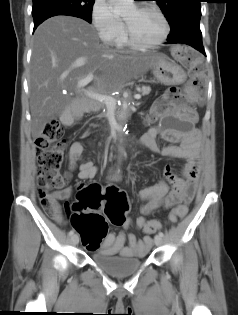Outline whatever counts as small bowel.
<instances>
[{"label":"small bowel","instance_id":"obj_1","mask_svg":"<svg viewBox=\"0 0 238 315\" xmlns=\"http://www.w3.org/2000/svg\"><path fill=\"white\" fill-rule=\"evenodd\" d=\"M157 103H155L154 106ZM159 133L160 129L158 128L149 129L141 136L140 144L149 148L154 153L185 159L186 163L183 167L184 177L176 176L172 172L171 167L167 166L165 169V179L139 191V197L143 200H147V202L141 207L143 216L135 220V224L138 228H144L147 223L145 215L151 214L161 208H168L175 203H182L186 206L193 197L200 173V132L197 129L183 131L176 135L174 139L179 141V145L170 144L163 147H160L157 143ZM82 152L83 145L81 142L75 141L71 144L69 149L70 167L75 165ZM96 174L97 167L92 161H86L79 167L78 178L80 180H89L94 178ZM115 177L117 178L118 176L116 175ZM169 183L173 185L172 189H170ZM70 194L71 188L68 187L56 191L52 195L56 201V210L52 213V217L59 223H62L63 219L59 214L57 202L68 199ZM131 223L132 220L128 218L123 224L124 228H128ZM158 223L160 224L159 221ZM125 242H127L126 246L124 245ZM152 244L153 239L150 235H146L143 239H140L133 233H120L117 236L110 233L106 234L99 245L100 247H98L101 253L106 255L119 254L120 256L131 257L144 255L151 248Z\"/></svg>","mask_w":238,"mask_h":315}]
</instances>
